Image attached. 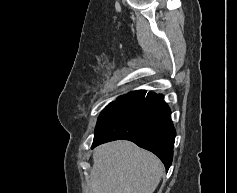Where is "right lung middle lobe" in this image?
<instances>
[{"mask_svg":"<svg viewBox=\"0 0 237 193\" xmlns=\"http://www.w3.org/2000/svg\"><path fill=\"white\" fill-rule=\"evenodd\" d=\"M130 94H131V92H129V93L126 94V95H122V96L118 97L115 101H113V102H111L110 104H108L107 107H106L104 110H106V109H108V108H110V107H112V106H114V105L120 103V102L123 101L125 98H127Z\"/></svg>","mask_w":237,"mask_h":193,"instance_id":"1","label":"right lung middle lobe"}]
</instances>
